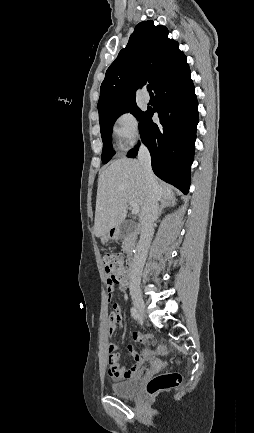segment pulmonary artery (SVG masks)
Segmentation results:
<instances>
[{
  "mask_svg": "<svg viewBox=\"0 0 254 433\" xmlns=\"http://www.w3.org/2000/svg\"><path fill=\"white\" fill-rule=\"evenodd\" d=\"M149 100H150L149 95L147 94V92L144 91V93H143V101L145 103H148Z\"/></svg>",
  "mask_w": 254,
  "mask_h": 433,
  "instance_id": "e3ab8cb5",
  "label": "pulmonary artery"
}]
</instances>
